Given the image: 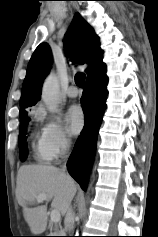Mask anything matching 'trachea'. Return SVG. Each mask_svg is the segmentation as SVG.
Returning a JSON list of instances; mask_svg holds the SVG:
<instances>
[{
  "mask_svg": "<svg viewBox=\"0 0 158 237\" xmlns=\"http://www.w3.org/2000/svg\"><path fill=\"white\" fill-rule=\"evenodd\" d=\"M75 83L78 87L83 88L84 83H85V74L77 73L75 76Z\"/></svg>",
  "mask_w": 158,
  "mask_h": 237,
  "instance_id": "1",
  "label": "trachea"
}]
</instances>
